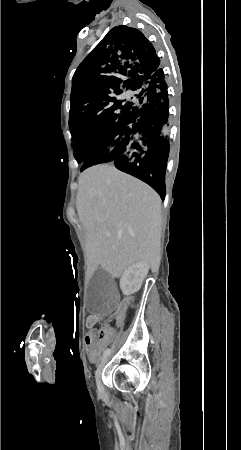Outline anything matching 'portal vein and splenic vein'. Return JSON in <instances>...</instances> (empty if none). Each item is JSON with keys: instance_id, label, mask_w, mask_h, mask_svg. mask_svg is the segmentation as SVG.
<instances>
[{"instance_id": "obj_1", "label": "portal vein and splenic vein", "mask_w": 241, "mask_h": 450, "mask_svg": "<svg viewBox=\"0 0 241 450\" xmlns=\"http://www.w3.org/2000/svg\"><path fill=\"white\" fill-rule=\"evenodd\" d=\"M107 236H109V238H110L111 234H107Z\"/></svg>"}]
</instances>
